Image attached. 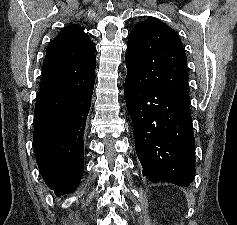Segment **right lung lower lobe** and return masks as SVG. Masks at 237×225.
<instances>
[{
  "label": "right lung lower lobe",
  "mask_w": 237,
  "mask_h": 225,
  "mask_svg": "<svg viewBox=\"0 0 237 225\" xmlns=\"http://www.w3.org/2000/svg\"><path fill=\"white\" fill-rule=\"evenodd\" d=\"M94 83L36 97L33 147L40 174L57 196L71 192L83 173V135Z\"/></svg>",
  "instance_id": "1"
}]
</instances>
